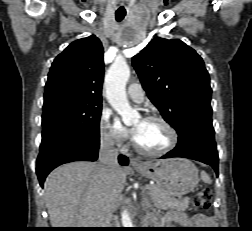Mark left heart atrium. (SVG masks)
<instances>
[{"label": "left heart atrium", "mask_w": 252, "mask_h": 231, "mask_svg": "<svg viewBox=\"0 0 252 231\" xmlns=\"http://www.w3.org/2000/svg\"><path fill=\"white\" fill-rule=\"evenodd\" d=\"M132 132H133V135L135 136L137 130L135 128H133Z\"/></svg>", "instance_id": "obj_1"}]
</instances>
